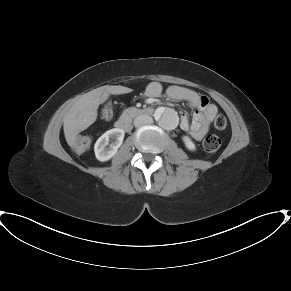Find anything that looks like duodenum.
<instances>
[{"instance_id": "duodenum-1", "label": "duodenum", "mask_w": 291, "mask_h": 291, "mask_svg": "<svg viewBox=\"0 0 291 291\" xmlns=\"http://www.w3.org/2000/svg\"><path fill=\"white\" fill-rule=\"evenodd\" d=\"M154 113V109L152 108H138L131 109L127 111L116 123L117 129L122 132H128L130 130V117L137 115H152Z\"/></svg>"}]
</instances>
